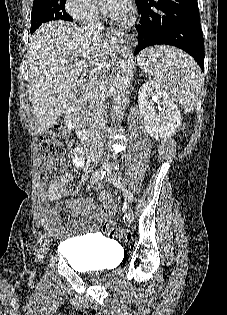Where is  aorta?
<instances>
[{
    "label": "aorta",
    "instance_id": "obj_1",
    "mask_svg": "<svg viewBox=\"0 0 227 315\" xmlns=\"http://www.w3.org/2000/svg\"><path fill=\"white\" fill-rule=\"evenodd\" d=\"M112 48L114 50L119 49L121 40L117 36H112L110 39ZM134 69V56L131 49H127L119 63L116 76L113 80V104H112V120L118 115L120 108L125 99L126 93L130 87L132 75Z\"/></svg>",
    "mask_w": 227,
    "mask_h": 315
}]
</instances>
